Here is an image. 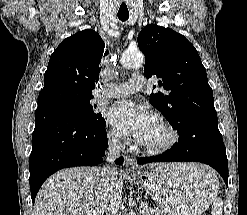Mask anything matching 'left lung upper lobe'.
<instances>
[{"instance_id":"1","label":"left lung upper lobe","mask_w":247,"mask_h":215,"mask_svg":"<svg viewBox=\"0 0 247 215\" xmlns=\"http://www.w3.org/2000/svg\"><path fill=\"white\" fill-rule=\"evenodd\" d=\"M138 46L145 55V76H156L164 88L150 95V103L178 134L198 125H218L206 70L186 37L151 24L138 35Z\"/></svg>"}]
</instances>
